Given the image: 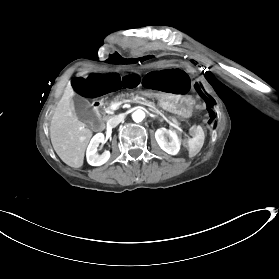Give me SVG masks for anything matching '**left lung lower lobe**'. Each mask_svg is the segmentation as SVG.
Returning a JSON list of instances; mask_svg holds the SVG:
<instances>
[{"label": "left lung lower lobe", "instance_id": "0a47b994", "mask_svg": "<svg viewBox=\"0 0 279 279\" xmlns=\"http://www.w3.org/2000/svg\"><path fill=\"white\" fill-rule=\"evenodd\" d=\"M196 88L199 90L200 94H202L201 91H200V89H199V87H198V85H196ZM207 102H208V109H209V111H210V120H209V123H211V122L213 121V119L215 118L214 113H213V112L211 111V109H210V108L213 106V101L207 100Z\"/></svg>", "mask_w": 279, "mask_h": 279}]
</instances>
